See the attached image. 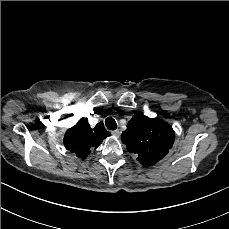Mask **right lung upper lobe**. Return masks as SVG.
Here are the masks:
<instances>
[{
	"label": "right lung upper lobe",
	"instance_id": "cb5924a9",
	"mask_svg": "<svg viewBox=\"0 0 229 229\" xmlns=\"http://www.w3.org/2000/svg\"><path fill=\"white\" fill-rule=\"evenodd\" d=\"M87 121V118L80 119L74 127L67 130L63 139L65 148L82 159H85L93 148H97L106 137L111 135L105 130L103 122L91 129Z\"/></svg>",
	"mask_w": 229,
	"mask_h": 229
}]
</instances>
